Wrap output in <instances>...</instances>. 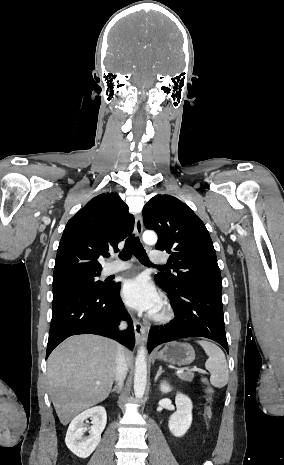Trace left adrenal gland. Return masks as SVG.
<instances>
[{"label":"left adrenal gland","mask_w":284,"mask_h":465,"mask_svg":"<svg viewBox=\"0 0 284 465\" xmlns=\"http://www.w3.org/2000/svg\"><path fill=\"white\" fill-rule=\"evenodd\" d=\"M161 373H163L162 371V367H159V371H157V375L155 377V381H157L158 377H160Z\"/></svg>","instance_id":"1"}]
</instances>
